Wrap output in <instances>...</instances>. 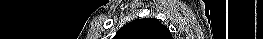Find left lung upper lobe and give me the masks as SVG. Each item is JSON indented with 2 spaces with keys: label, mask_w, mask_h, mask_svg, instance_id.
Listing matches in <instances>:
<instances>
[{
  "label": "left lung upper lobe",
  "mask_w": 263,
  "mask_h": 39,
  "mask_svg": "<svg viewBox=\"0 0 263 39\" xmlns=\"http://www.w3.org/2000/svg\"><path fill=\"white\" fill-rule=\"evenodd\" d=\"M115 39H173L169 29L155 18L134 20L123 26Z\"/></svg>",
  "instance_id": "obj_1"
}]
</instances>
